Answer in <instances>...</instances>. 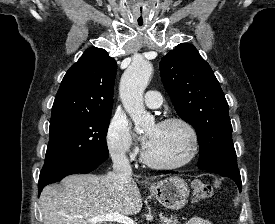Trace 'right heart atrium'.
Returning <instances> with one entry per match:
<instances>
[{"mask_svg": "<svg viewBox=\"0 0 275 224\" xmlns=\"http://www.w3.org/2000/svg\"><path fill=\"white\" fill-rule=\"evenodd\" d=\"M106 143L110 154L115 158L131 160L138 153L127 119L118 114L110 121Z\"/></svg>", "mask_w": 275, "mask_h": 224, "instance_id": "right-heart-atrium-1", "label": "right heart atrium"}]
</instances>
